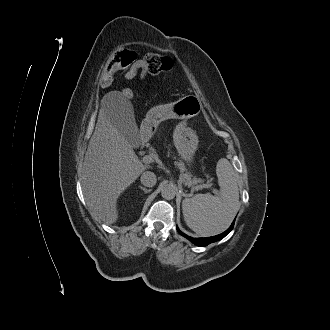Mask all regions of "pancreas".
<instances>
[{"instance_id": "cf45deb5", "label": "pancreas", "mask_w": 330, "mask_h": 330, "mask_svg": "<svg viewBox=\"0 0 330 330\" xmlns=\"http://www.w3.org/2000/svg\"><path fill=\"white\" fill-rule=\"evenodd\" d=\"M176 165L179 168V170L182 172L180 179L185 185L189 187H193L197 182H202L201 179H192L191 175L188 172H185L186 168L182 161L177 162Z\"/></svg>"}]
</instances>
